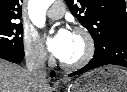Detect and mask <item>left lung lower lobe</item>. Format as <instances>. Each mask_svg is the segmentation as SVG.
Masks as SVG:
<instances>
[{
  "label": "left lung lower lobe",
  "mask_w": 127,
  "mask_h": 92,
  "mask_svg": "<svg viewBox=\"0 0 127 92\" xmlns=\"http://www.w3.org/2000/svg\"><path fill=\"white\" fill-rule=\"evenodd\" d=\"M108 64L127 67V39L108 40L105 44L95 49L93 59L86 66L69 74V76L80 75Z\"/></svg>",
  "instance_id": "0a47b994"
}]
</instances>
